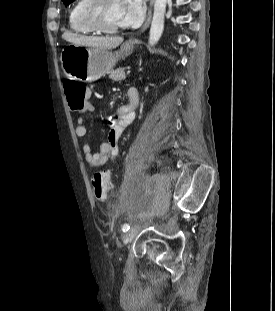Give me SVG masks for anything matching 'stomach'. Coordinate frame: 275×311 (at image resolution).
Masks as SVG:
<instances>
[{
    "instance_id": "1",
    "label": "stomach",
    "mask_w": 275,
    "mask_h": 311,
    "mask_svg": "<svg viewBox=\"0 0 275 311\" xmlns=\"http://www.w3.org/2000/svg\"><path fill=\"white\" fill-rule=\"evenodd\" d=\"M134 45L126 42L118 51L68 44L61 52L62 68L66 76L93 82L109 73L121 58L130 55Z\"/></svg>"
}]
</instances>
